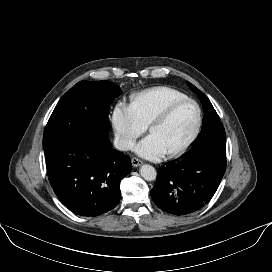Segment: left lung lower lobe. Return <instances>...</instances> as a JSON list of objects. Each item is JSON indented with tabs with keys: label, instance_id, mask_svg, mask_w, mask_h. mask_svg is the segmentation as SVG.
<instances>
[{
	"label": "left lung lower lobe",
	"instance_id": "0a47b994",
	"mask_svg": "<svg viewBox=\"0 0 272 272\" xmlns=\"http://www.w3.org/2000/svg\"><path fill=\"white\" fill-rule=\"evenodd\" d=\"M225 170L226 156L207 150L188 151L181 159L159 168L151 197L167 213H194L213 197Z\"/></svg>",
	"mask_w": 272,
	"mask_h": 272
}]
</instances>
